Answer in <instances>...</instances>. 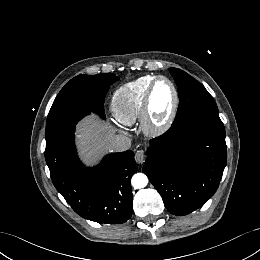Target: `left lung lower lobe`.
Returning <instances> with one entry per match:
<instances>
[{
	"instance_id": "obj_1",
	"label": "left lung lower lobe",
	"mask_w": 260,
	"mask_h": 260,
	"mask_svg": "<svg viewBox=\"0 0 260 260\" xmlns=\"http://www.w3.org/2000/svg\"><path fill=\"white\" fill-rule=\"evenodd\" d=\"M227 160L218 111H203L172 124L150 141L144 173L177 216L201 207L217 190Z\"/></svg>"
}]
</instances>
